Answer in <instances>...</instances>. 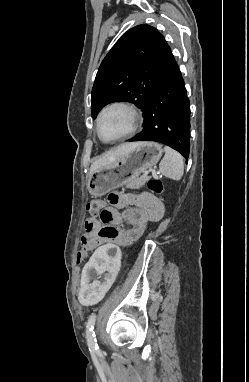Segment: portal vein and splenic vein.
I'll list each match as a JSON object with an SVG mask.
<instances>
[{"instance_id": "1", "label": "portal vein and splenic vein", "mask_w": 249, "mask_h": 382, "mask_svg": "<svg viewBox=\"0 0 249 382\" xmlns=\"http://www.w3.org/2000/svg\"><path fill=\"white\" fill-rule=\"evenodd\" d=\"M149 172H152V175H153V176H156V175H157V174H156V171L151 169L150 171L145 172L144 175L142 176V178H143V177H146V176L149 174Z\"/></svg>"}]
</instances>
